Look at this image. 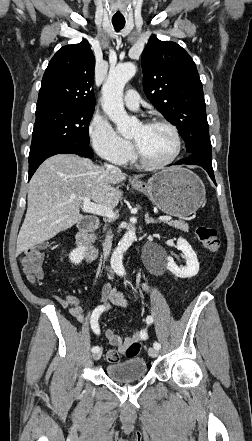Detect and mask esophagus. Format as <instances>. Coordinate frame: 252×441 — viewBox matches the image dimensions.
Segmentation results:
<instances>
[{"instance_id": "esophagus-1", "label": "esophagus", "mask_w": 252, "mask_h": 441, "mask_svg": "<svg viewBox=\"0 0 252 441\" xmlns=\"http://www.w3.org/2000/svg\"><path fill=\"white\" fill-rule=\"evenodd\" d=\"M132 181H133V182H137L138 179H137V178H133Z\"/></svg>"}]
</instances>
